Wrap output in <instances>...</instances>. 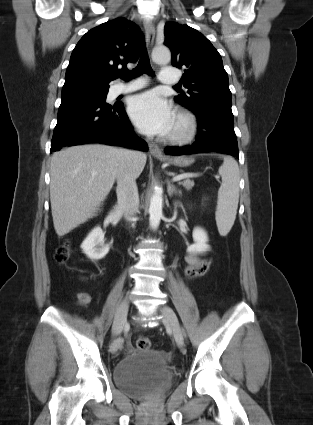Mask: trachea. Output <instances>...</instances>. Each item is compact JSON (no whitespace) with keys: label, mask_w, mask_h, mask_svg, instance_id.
<instances>
[{"label":"trachea","mask_w":313,"mask_h":425,"mask_svg":"<svg viewBox=\"0 0 313 425\" xmlns=\"http://www.w3.org/2000/svg\"><path fill=\"white\" fill-rule=\"evenodd\" d=\"M143 73H146L150 76H154V72L150 66V61L145 46H142L141 48L140 60L137 67L128 73L120 75V77L125 81H129L130 79L138 77ZM175 87L178 88V86Z\"/></svg>","instance_id":"trachea-1"}]
</instances>
